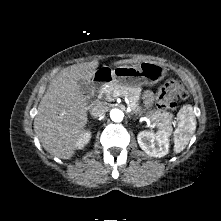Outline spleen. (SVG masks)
<instances>
[{"label": "spleen", "instance_id": "obj_1", "mask_svg": "<svg viewBox=\"0 0 221 221\" xmlns=\"http://www.w3.org/2000/svg\"><path fill=\"white\" fill-rule=\"evenodd\" d=\"M178 118L180 122L174 132V149L176 152H181L188 144L191 135L196 129V120L192 106H183L178 113Z\"/></svg>", "mask_w": 221, "mask_h": 221}]
</instances>
